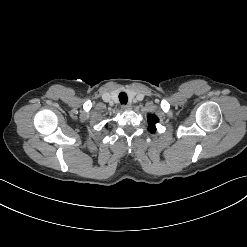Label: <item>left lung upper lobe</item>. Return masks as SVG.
<instances>
[{"label": "left lung upper lobe", "instance_id": "1", "mask_svg": "<svg viewBox=\"0 0 247 247\" xmlns=\"http://www.w3.org/2000/svg\"><path fill=\"white\" fill-rule=\"evenodd\" d=\"M159 121L158 117H156L155 115H149L148 116V130L151 133H154L156 131V127L155 124Z\"/></svg>", "mask_w": 247, "mask_h": 247}]
</instances>
